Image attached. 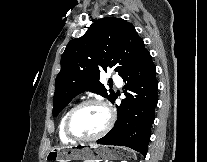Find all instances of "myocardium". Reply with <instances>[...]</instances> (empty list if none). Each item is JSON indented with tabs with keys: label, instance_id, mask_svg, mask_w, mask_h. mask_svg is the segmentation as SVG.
<instances>
[{
	"label": "myocardium",
	"instance_id": "obj_1",
	"mask_svg": "<svg viewBox=\"0 0 207 162\" xmlns=\"http://www.w3.org/2000/svg\"><path fill=\"white\" fill-rule=\"evenodd\" d=\"M92 104H96V105H100L103 108H105L106 112H107V122L106 125L104 126V128L97 134L92 135V136H78L75 135L70 128V124L72 119L74 118V116L80 112L82 109H84L85 107L92 105ZM114 119H115V112L114 109L112 108V106L105 100H103L102 98H91V99H87L85 101H83L82 103L78 104L76 107H74L67 115L65 121H64V125H63V132L64 135L67 139L69 140H76V141H91V140H97L103 136H105L110 129L113 126L114 123Z\"/></svg>",
	"mask_w": 207,
	"mask_h": 162
}]
</instances>
